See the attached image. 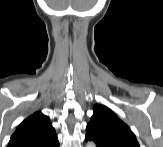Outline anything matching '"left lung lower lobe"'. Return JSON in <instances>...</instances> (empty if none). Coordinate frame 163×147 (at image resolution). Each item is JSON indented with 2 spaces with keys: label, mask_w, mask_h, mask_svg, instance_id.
Segmentation results:
<instances>
[{
  "label": "left lung lower lobe",
  "mask_w": 163,
  "mask_h": 147,
  "mask_svg": "<svg viewBox=\"0 0 163 147\" xmlns=\"http://www.w3.org/2000/svg\"><path fill=\"white\" fill-rule=\"evenodd\" d=\"M86 140H92L90 137H88L86 135L85 137ZM94 141V140H93ZM95 142V141H94ZM97 147H121V146H113V145H109V144H104V143H99V142H95Z\"/></svg>",
  "instance_id": "0a47b994"
}]
</instances>
